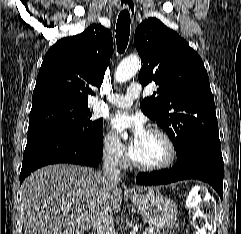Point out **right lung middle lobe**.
<instances>
[{"mask_svg": "<svg viewBox=\"0 0 241 234\" xmlns=\"http://www.w3.org/2000/svg\"><path fill=\"white\" fill-rule=\"evenodd\" d=\"M88 104L51 101L33 105L28 135L45 131H63L84 140H93L102 133V119L92 120Z\"/></svg>", "mask_w": 241, "mask_h": 234, "instance_id": "dd1d6c3e", "label": "right lung middle lobe"}]
</instances>
